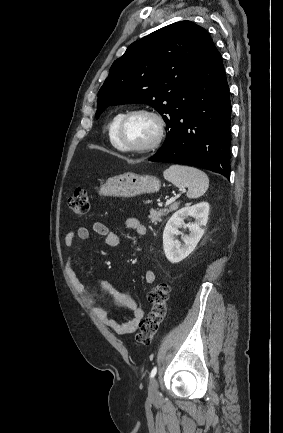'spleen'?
<instances>
[{"mask_svg":"<svg viewBox=\"0 0 283 433\" xmlns=\"http://www.w3.org/2000/svg\"><path fill=\"white\" fill-rule=\"evenodd\" d=\"M166 180L173 182L179 188L187 186V196L189 198H198L206 192L209 186V178L203 170L193 168V166H182V164H171L164 170L163 174Z\"/></svg>","mask_w":283,"mask_h":433,"instance_id":"1","label":"spleen"}]
</instances>
